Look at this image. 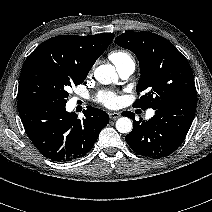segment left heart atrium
I'll list each match as a JSON object with an SVG mask.
<instances>
[{"label":"left heart atrium","instance_id":"obj_1","mask_svg":"<svg viewBox=\"0 0 212 212\" xmlns=\"http://www.w3.org/2000/svg\"><path fill=\"white\" fill-rule=\"evenodd\" d=\"M99 101L107 107H114L117 104V97L113 92H102Z\"/></svg>","mask_w":212,"mask_h":212}]
</instances>
